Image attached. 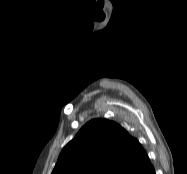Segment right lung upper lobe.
Returning <instances> with one entry per match:
<instances>
[{
    "instance_id": "obj_1",
    "label": "right lung upper lobe",
    "mask_w": 187,
    "mask_h": 174,
    "mask_svg": "<svg viewBox=\"0 0 187 174\" xmlns=\"http://www.w3.org/2000/svg\"><path fill=\"white\" fill-rule=\"evenodd\" d=\"M52 174H155L140 143L105 119L85 124L61 151Z\"/></svg>"
}]
</instances>
